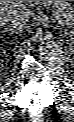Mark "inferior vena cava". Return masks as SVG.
Listing matches in <instances>:
<instances>
[{"label":"inferior vena cava","mask_w":74,"mask_h":122,"mask_svg":"<svg viewBox=\"0 0 74 122\" xmlns=\"http://www.w3.org/2000/svg\"><path fill=\"white\" fill-rule=\"evenodd\" d=\"M11 26L22 32L29 26V17L23 12H16L8 18Z\"/></svg>","instance_id":"inferior-vena-cava-1"}]
</instances>
